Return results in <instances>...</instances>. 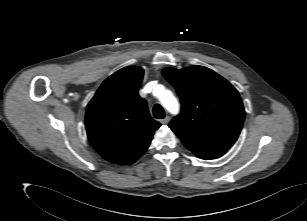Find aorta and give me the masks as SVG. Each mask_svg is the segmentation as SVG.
I'll list each match as a JSON object with an SVG mask.
<instances>
[{
  "label": "aorta",
  "mask_w": 307,
  "mask_h": 221,
  "mask_svg": "<svg viewBox=\"0 0 307 221\" xmlns=\"http://www.w3.org/2000/svg\"><path fill=\"white\" fill-rule=\"evenodd\" d=\"M160 101L164 105V107L172 113L178 111V103L176 98L172 95L170 91L165 90L160 95Z\"/></svg>",
  "instance_id": "762f6f07"
}]
</instances>
